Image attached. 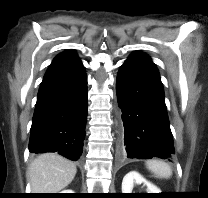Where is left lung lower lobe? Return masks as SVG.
Segmentation results:
<instances>
[{"mask_svg":"<svg viewBox=\"0 0 208 198\" xmlns=\"http://www.w3.org/2000/svg\"><path fill=\"white\" fill-rule=\"evenodd\" d=\"M122 111L121 153L126 158L171 161L173 138L159 72L149 56L131 54L116 80Z\"/></svg>","mask_w":208,"mask_h":198,"instance_id":"0a47b994","label":"left lung lower lobe"}]
</instances>
